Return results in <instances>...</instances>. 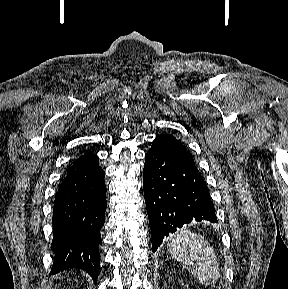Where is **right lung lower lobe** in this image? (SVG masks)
<instances>
[{
  "instance_id": "98d812e1",
  "label": "right lung lower lobe",
  "mask_w": 288,
  "mask_h": 289,
  "mask_svg": "<svg viewBox=\"0 0 288 289\" xmlns=\"http://www.w3.org/2000/svg\"><path fill=\"white\" fill-rule=\"evenodd\" d=\"M98 163L97 155L86 152L70 167L58 189L52 218V274L74 267L87 271L94 281L98 277V245L107 205L105 172Z\"/></svg>"
}]
</instances>
